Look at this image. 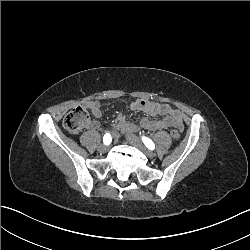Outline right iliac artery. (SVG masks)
<instances>
[{
    "instance_id": "1",
    "label": "right iliac artery",
    "mask_w": 250,
    "mask_h": 250,
    "mask_svg": "<svg viewBox=\"0 0 250 250\" xmlns=\"http://www.w3.org/2000/svg\"><path fill=\"white\" fill-rule=\"evenodd\" d=\"M111 141H112V137H111L110 133H106L103 137V143L105 145H109L111 143Z\"/></svg>"
}]
</instances>
